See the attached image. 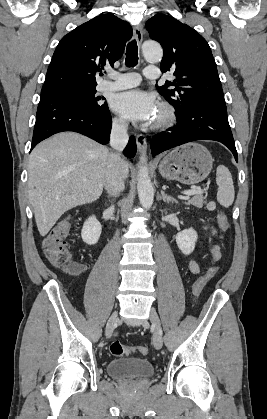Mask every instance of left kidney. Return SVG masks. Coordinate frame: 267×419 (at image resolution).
I'll list each match as a JSON object with an SVG mask.
<instances>
[{"instance_id":"5707ae66","label":"left kidney","mask_w":267,"mask_h":419,"mask_svg":"<svg viewBox=\"0 0 267 419\" xmlns=\"http://www.w3.org/2000/svg\"><path fill=\"white\" fill-rule=\"evenodd\" d=\"M198 235L193 228L185 229L176 235V243L184 255L194 251Z\"/></svg>"}]
</instances>
